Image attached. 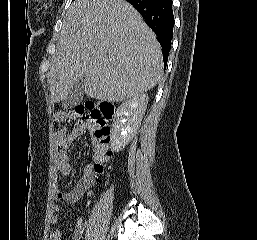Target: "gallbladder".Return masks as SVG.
<instances>
[{"label":"gallbladder","mask_w":257,"mask_h":240,"mask_svg":"<svg viewBox=\"0 0 257 240\" xmlns=\"http://www.w3.org/2000/svg\"><path fill=\"white\" fill-rule=\"evenodd\" d=\"M84 80H78L72 87L67 98L62 102L64 109H71L77 106L83 99L84 96Z\"/></svg>","instance_id":"obj_1"}]
</instances>
